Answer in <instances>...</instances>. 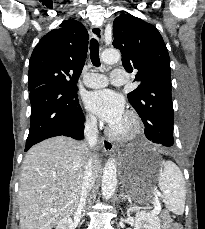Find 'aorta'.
I'll return each instance as SVG.
<instances>
[{
    "label": "aorta",
    "instance_id": "762f6f07",
    "mask_svg": "<svg viewBox=\"0 0 205 229\" xmlns=\"http://www.w3.org/2000/svg\"><path fill=\"white\" fill-rule=\"evenodd\" d=\"M121 58V54L117 49H106L101 54V60L105 64L117 63ZM117 186V167L113 157L109 158L103 169L102 176V196L105 200H109L115 193Z\"/></svg>",
    "mask_w": 205,
    "mask_h": 229
}]
</instances>
